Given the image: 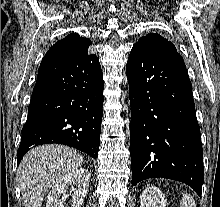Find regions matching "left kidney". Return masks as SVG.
I'll use <instances>...</instances> for the list:
<instances>
[{
  "instance_id": "1",
  "label": "left kidney",
  "mask_w": 220,
  "mask_h": 207,
  "mask_svg": "<svg viewBox=\"0 0 220 207\" xmlns=\"http://www.w3.org/2000/svg\"><path fill=\"white\" fill-rule=\"evenodd\" d=\"M140 207H166V200L157 187L149 186L140 196Z\"/></svg>"
}]
</instances>
